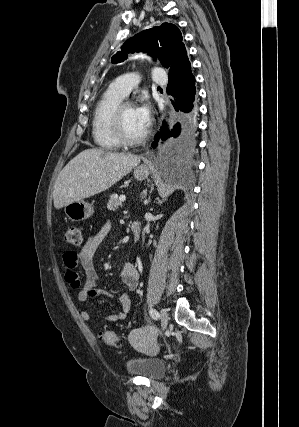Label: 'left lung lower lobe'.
I'll return each mask as SVG.
<instances>
[{"label":"left lung lower lobe","mask_w":299,"mask_h":427,"mask_svg":"<svg viewBox=\"0 0 299 427\" xmlns=\"http://www.w3.org/2000/svg\"><path fill=\"white\" fill-rule=\"evenodd\" d=\"M167 91L174 97L172 104L176 111L180 112V121L171 132L163 123L160 134L156 135L152 146H157L159 136L162 140L173 136L176 138L173 146L174 155L189 157L196 147L197 106L194 102L196 94L195 77L191 72V64L183 43L170 65Z\"/></svg>","instance_id":"0a47b994"}]
</instances>
